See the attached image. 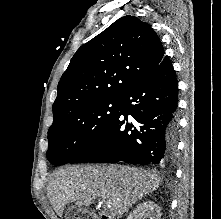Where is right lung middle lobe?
<instances>
[{"mask_svg": "<svg viewBox=\"0 0 221 219\" xmlns=\"http://www.w3.org/2000/svg\"><path fill=\"white\" fill-rule=\"evenodd\" d=\"M120 105L121 98L92 101L55 120L48 131V161L63 165L86 151L114 120Z\"/></svg>", "mask_w": 221, "mask_h": 219, "instance_id": "right-lung-middle-lobe-1", "label": "right lung middle lobe"}]
</instances>
